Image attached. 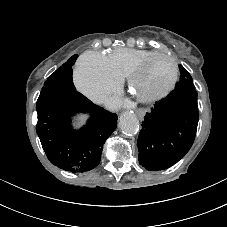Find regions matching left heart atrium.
<instances>
[{"instance_id": "39dd6f15", "label": "left heart atrium", "mask_w": 227, "mask_h": 227, "mask_svg": "<svg viewBox=\"0 0 227 227\" xmlns=\"http://www.w3.org/2000/svg\"><path fill=\"white\" fill-rule=\"evenodd\" d=\"M112 103L115 105V104H117V101H113Z\"/></svg>"}]
</instances>
